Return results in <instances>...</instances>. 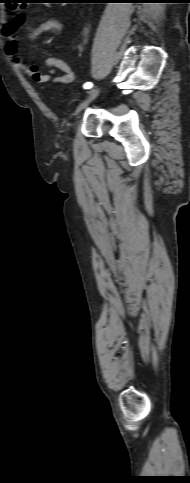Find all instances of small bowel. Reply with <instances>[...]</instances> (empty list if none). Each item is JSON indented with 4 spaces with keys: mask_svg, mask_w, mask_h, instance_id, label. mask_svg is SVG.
I'll list each match as a JSON object with an SVG mask.
<instances>
[{
    "mask_svg": "<svg viewBox=\"0 0 190 483\" xmlns=\"http://www.w3.org/2000/svg\"><path fill=\"white\" fill-rule=\"evenodd\" d=\"M63 25L57 19H49L42 22L38 26H30L28 24L26 15L19 13L14 19L7 21L2 28L3 36L5 37L4 48L7 57L11 62L25 74L29 75L35 82L42 83L48 81L53 71L43 74L39 71L37 65H27L18 52V39L16 33L22 31L28 39H37L40 35L46 32L59 33ZM44 64L47 67L55 68L62 71V75L55 78L58 84H68L74 79V72L69 64L65 61L56 58L48 57Z\"/></svg>",
    "mask_w": 190,
    "mask_h": 483,
    "instance_id": "1",
    "label": "small bowel"
}]
</instances>
